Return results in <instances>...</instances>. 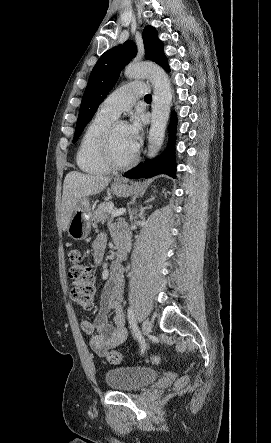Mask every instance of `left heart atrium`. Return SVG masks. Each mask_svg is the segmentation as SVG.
<instances>
[{"mask_svg":"<svg viewBox=\"0 0 271 443\" xmlns=\"http://www.w3.org/2000/svg\"><path fill=\"white\" fill-rule=\"evenodd\" d=\"M143 120L140 115H134L126 125V134L128 141L136 152L142 141Z\"/></svg>","mask_w":271,"mask_h":443,"instance_id":"left-heart-atrium-1","label":"left heart atrium"}]
</instances>
